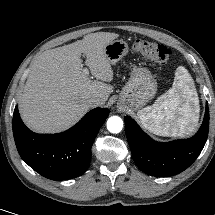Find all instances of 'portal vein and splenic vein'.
Listing matches in <instances>:
<instances>
[{"label":"portal vein and splenic vein","mask_w":215,"mask_h":215,"mask_svg":"<svg viewBox=\"0 0 215 215\" xmlns=\"http://www.w3.org/2000/svg\"><path fill=\"white\" fill-rule=\"evenodd\" d=\"M83 73L86 74V75H89V70L87 68H84Z\"/></svg>","instance_id":"18ae733b"}]
</instances>
